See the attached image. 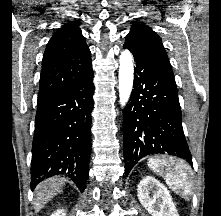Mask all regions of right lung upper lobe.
Masks as SVG:
<instances>
[{"label": "right lung upper lobe", "instance_id": "cb5924a9", "mask_svg": "<svg viewBox=\"0 0 221 216\" xmlns=\"http://www.w3.org/2000/svg\"><path fill=\"white\" fill-rule=\"evenodd\" d=\"M92 70L91 52L76 23H66L47 44L42 63L38 103L85 78Z\"/></svg>", "mask_w": 221, "mask_h": 216}]
</instances>
